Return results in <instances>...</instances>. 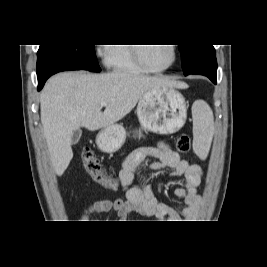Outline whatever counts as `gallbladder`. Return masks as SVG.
<instances>
[{
	"label": "gallbladder",
	"instance_id": "obj_1",
	"mask_svg": "<svg viewBox=\"0 0 267 267\" xmlns=\"http://www.w3.org/2000/svg\"><path fill=\"white\" fill-rule=\"evenodd\" d=\"M81 135H82L81 129L74 130V132L72 134V138H71L72 145L77 144V142L79 141Z\"/></svg>",
	"mask_w": 267,
	"mask_h": 267
}]
</instances>
